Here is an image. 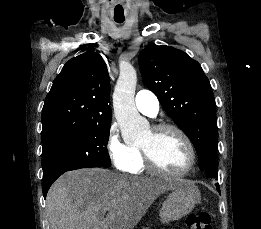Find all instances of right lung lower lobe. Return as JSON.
Returning <instances> with one entry per match:
<instances>
[{"label":"right lung lower lobe","instance_id":"98d812e1","mask_svg":"<svg viewBox=\"0 0 261 229\" xmlns=\"http://www.w3.org/2000/svg\"><path fill=\"white\" fill-rule=\"evenodd\" d=\"M66 171H60V172H56L53 174H50L46 177H43L42 180V191H43V196L44 198H46L47 192L50 188V186L52 185V183L59 177L61 176L63 173H65Z\"/></svg>","mask_w":261,"mask_h":229}]
</instances>
